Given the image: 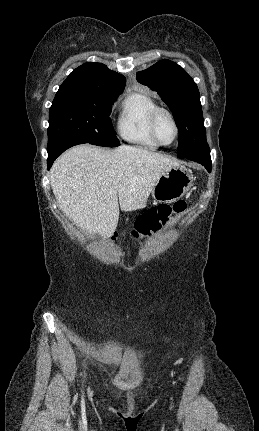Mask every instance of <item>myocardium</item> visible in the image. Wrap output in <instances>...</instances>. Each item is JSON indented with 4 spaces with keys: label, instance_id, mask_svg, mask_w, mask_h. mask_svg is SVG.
Wrapping results in <instances>:
<instances>
[{
    "label": "myocardium",
    "instance_id": "myocardium-1",
    "mask_svg": "<svg viewBox=\"0 0 259 431\" xmlns=\"http://www.w3.org/2000/svg\"><path fill=\"white\" fill-rule=\"evenodd\" d=\"M160 114H166L170 118V120L172 121V124L174 126L175 134H174V137L170 143H163L157 135L156 124H157V120H158V117L160 116ZM149 128H150L151 136L153 137V139L156 141V143L159 146H169V145L173 144L179 136V126H178L177 120H176L173 112L166 107L157 106L151 112L150 117H149Z\"/></svg>",
    "mask_w": 259,
    "mask_h": 431
}]
</instances>
